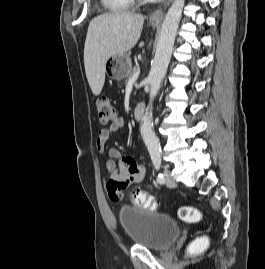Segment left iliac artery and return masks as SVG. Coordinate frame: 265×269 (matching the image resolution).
Segmentation results:
<instances>
[{
	"instance_id": "44dca946",
	"label": "left iliac artery",
	"mask_w": 265,
	"mask_h": 269,
	"mask_svg": "<svg viewBox=\"0 0 265 269\" xmlns=\"http://www.w3.org/2000/svg\"><path fill=\"white\" fill-rule=\"evenodd\" d=\"M152 162L154 164V167L157 171H159L161 167V157L160 156H153L152 157ZM157 182L160 184H163L165 182L164 175L160 172L157 174Z\"/></svg>"
}]
</instances>
